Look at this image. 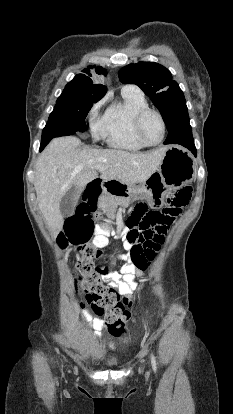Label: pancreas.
<instances>
[{
    "label": "pancreas",
    "instance_id": "1",
    "mask_svg": "<svg viewBox=\"0 0 233 414\" xmlns=\"http://www.w3.org/2000/svg\"><path fill=\"white\" fill-rule=\"evenodd\" d=\"M122 202V199L119 197L114 198L109 195H104L101 199L100 206L109 218H115L116 207Z\"/></svg>",
    "mask_w": 233,
    "mask_h": 414
}]
</instances>
